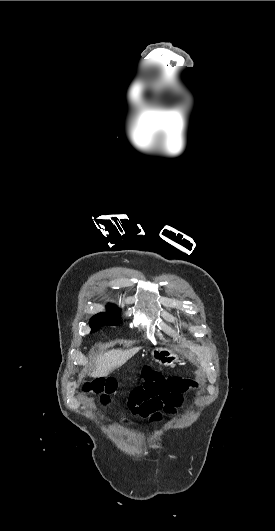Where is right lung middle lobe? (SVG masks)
Returning a JSON list of instances; mask_svg holds the SVG:
<instances>
[{"label":"right lung middle lobe","instance_id":"dd1d6c3e","mask_svg":"<svg viewBox=\"0 0 275 531\" xmlns=\"http://www.w3.org/2000/svg\"><path fill=\"white\" fill-rule=\"evenodd\" d=\"M107 309V313H98L91 318L89 322L92 328L91 332L97 331L103 325L116 326L120 323L119 308L110 304Z\"/></svg>","mask_w":275,"mask_h":531}]
</instances>
